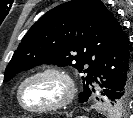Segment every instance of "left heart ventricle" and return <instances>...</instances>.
Wrapping results in <instances>:
<instances>
[{
	"instance_id": "left-heart-ventricle-1",
	"label": "left heart ventricle",
	"mask_w": 133,
	"mask_h": 118,
	"mask_svg": "<svg viewBox=\"0 0 133 118\" xmlns=\"http://www.w3.org/2000/svg\"><path fill=\"white\" fill-rule=\"evenodd\" d=\"M64 94L62 82L53 76H38L31 79L22 92L27 107L35 108L57 102Z\"/></svg>"
}]
</instances>
